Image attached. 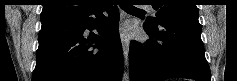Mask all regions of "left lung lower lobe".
<instances>
[{
	"mask_svg": "<svg viewBox=\"0 0 237 81\" xmlns=\"http://www.w3.org/2000/svg\"><path fill=\"white\" fill-rule=\"evenodd\" d=\"M144 30L150 39L130 44V81H211L198 21L168 19L152 26L145 22Z\"/></svg>",
	"mask_w": 237,
	"mask_h": 81,
	"instance_id": "left-lung-lower-lobe-1",
	"label": "left lung lower lobe"
}]
</instances>
